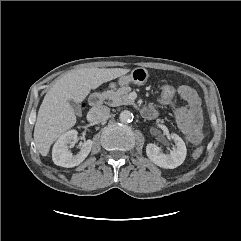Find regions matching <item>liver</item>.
Wrapping results in <instances>:
<instances>
[{
  "mask_svg": "<svg viewBox=\"0 0 241 241\" xmlns=\"http://www.w3.org/2000/svg\"><path fill=\"white\" fill-rule=\"evenodd\" d=\"M129 72L123 68H82L62 76L50 88L39 108L34 128V141L39 153L47 156L50 146L62 133L76 124L69 100L82 102L105 82Z\"/></svg>",
  "mask_w": 241,
  "mask_h": 241,
  "instance_id": "1",
  "label": "liver"
}]
</instances>
